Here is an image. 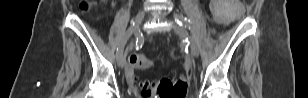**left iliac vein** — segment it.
Segmentation results:
<instances>
[{
  "label": "left iliac vein",
  "mask_w": 308,
  "mask_h": 98,
  "mask_svg": "<svg viewBox=\"0 0 308 98\" xmlns=\"http://www.w3.org/2000/svg\"><path fill=\"white\" fill-rule=\"evenodd\" d=\"M171 26L173 28V30L181 35L182 37H185V38H188L189 41H190V47H191V51H192V54L195 56V57H198L199 56V51H198V48L196 46V43L194 41V39L190 36L189 32L187 31V29L183 26H180L176 23H173L171 22Z\"/></svg>",
  "instance_id": "4c4485c4"
}]
</instances>
